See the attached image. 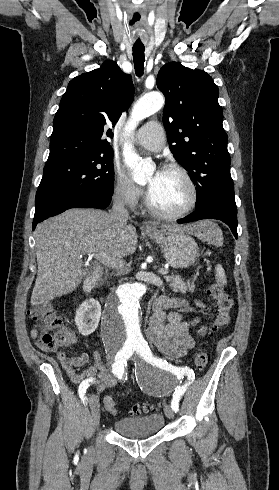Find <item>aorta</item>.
I'll return each instance as SVG.
<instances>
[{"mask_svg":"<svg viewBox=\"0 0 279 490\" xmlns=\"http://www.w3.org/2000/svg\"><path fill=\"white\" fill-rule=\"evenodd\" d=\"M164 105L161 93H149L134 105L125 133L130 135L139 121L156 113ZM125 163L132 170L133 179L142 183L152 174L153 165L135 153L130 144L123 151ZM146 292L142 283H127L109 296L102 319V335L106 345L113 350L128 351L145 342L141 327L140 299Z\"/></svg>","mask_w":279,"mask_h":490,"instance_id":"1","label":"aorta"}]
</instances>
